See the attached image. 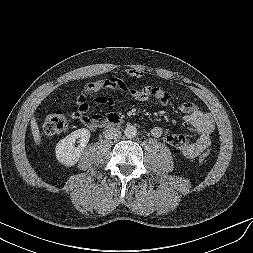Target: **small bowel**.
I'll use <instances>...</instances> for the list:
<instances>
[{"instance_id": "obj_1", "label": "small bowel", "mask_w": 253, "mask_h": 253, "mask_svg": "<svg viewBox=\"0 0 253 253\" xmlns=\"http://www.w3.org/2000/svg\"><path fill=\"white\" fill-rule=\"evenodd\" d=\"M129 77L139 78L144 75V71L135 68L126 70ZM104 89H111L123 92L138 102L155 100L158 103L167 104L172 96L166 90L150 85L138 89L130 86L124 80L117 77L104 78L86 84L77 98V110L73 113V118L86 126L90 130H95L103 126L108 118L110 119L114 110V101L108 97H96L95 104L104 106L109 115L103 117L99 114L90 115L89 96ZM179 110L184 114L185 122L193 127V131L186 135H164V130L160 126L151 129L154 138H161L167 145L175 148L184 158L194 159L207 149L211 143V134L215 129V123L211 115L202 112L197 105L192 102H182Z\"/></svg>"}]
</instances>
